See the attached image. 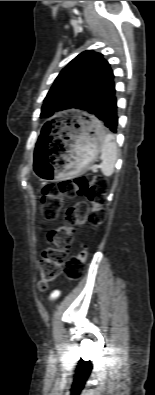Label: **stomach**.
I'll use <instances>...</instances> for the list:
<instances>
[{
	"label": "stomach",
	"mask_w": 155,
	"mask_h": 395,
	"mask_svg": "<svg viewBox=\"0 0 155 395\" xmlns=\"http://www.w3.org/2000/svg\"><path fill=\"white\" fill-rule=\"evenodd\" d=\"M104 137V127L97 118L84 111L76 112L63 136L62 150L48 156L50 161L36 157L34 174L43 181L82 174L99 155Z\"/></svg>",
	"instance_id": "stomach-1"
}]
</instances>
